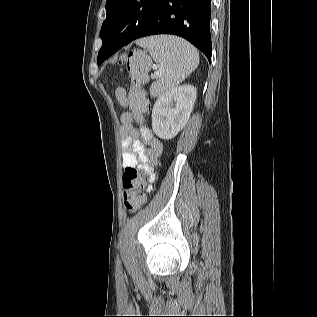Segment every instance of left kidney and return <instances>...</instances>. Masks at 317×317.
Masks as SVG:
<instances>
[{
    "instance_id": "1",
    "label": "left kidney",
    "mask_w": 317,
    "mask_h": 317,
    "mask_svg": "<svg viewBox=\"0 0 317 317\" xmlns=\"http://www.w3.org/2000/svg\"><path fill=\"white\" fill-rule=\"evenodd\" d=\"M193 85L174 87L160 96L152 110V129L161 139L174 138L189 120L196 100Z\"/></svg>"
}]
</instances>
